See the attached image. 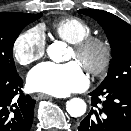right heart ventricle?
<instances>
[{
	"label": "right heart ventricle",
	"mask_w": 131,
	"mask_h": 131,
	"mask_svg": "<svg viewBox=\"0 0 131 131\" xmlns=\"http://www.w3.org/2000/svg\"><path fill=\"white\" fill-rule=\"evenodd\" d=\"M56 36L62 40L76 44L92 34V28L84 20L77 17H64L52 24Z\"/></svg>",
	"instance_id": "obj_1"
}]
</instances>
